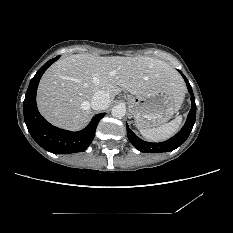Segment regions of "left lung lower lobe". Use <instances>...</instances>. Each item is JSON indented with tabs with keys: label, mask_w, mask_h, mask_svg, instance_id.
Returning <instances> with one entry per match:
<instances>
[{
	"label": "left lung lower lobe",
	"mask_w": 233,
	"mask_h": 233,
	"mask_svg": "<svg viewBox=\"0 0 233 233\" xmlns=\"http://www.w3.org/2000/svg\"><path fill=\"white\" fill-rule=\"evenodd\" d=\"M181 75L183 76L188 91L191 95V110L188 114L187 120L185 122V125L182 127V129L172 138H170L167 141L161 142V143H150L141 140L138 138L128 127L127 125V135L128 139L131 142L133 146H135L139 151L144 152V153H163V152H168V151H173L176 148H178L180 145H182L186 139L188 138L193 125L195 123L196 119V104H195V97L192 91V87L187 80V78L183 75L181 71H179Z\"/></svg>",
	"instance_id": "1"
}]
</instances>
